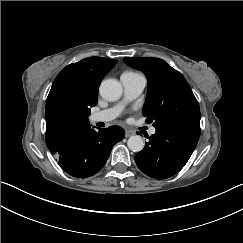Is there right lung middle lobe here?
Returning <instances> with one entry per match:
<instances>
[{
  "mask_svg": "<svg viewBox=\"0 0 243 243\" xmlns=\"http://www.w3.org/2000/svg\"><path fill=\"white\" fill-rule=\"evenodd\" d=\"M86 114H87V116H89V114H90V111H89V110H87V111H86Z\"/></svg>",
  "mask_w": 243,
  "mask_h": 243,
  "instance_id": "right-lung-middle-lobe-1",
  "label": "right lung middle lobe"
}]
</instances>
